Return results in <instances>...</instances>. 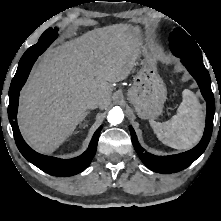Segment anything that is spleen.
<instances>
[{
	"label": "spleen",
	"mask_w": 221,
	"mask_h": 221,
	"mask_svg": "<svg viewBox=\"0 0 221 221\" xmlns=\"http://www.w3.org/2000/svg\"><path fill=\"white\" fill-rule=\"evenodd\" d=\"M182 98L176 115L162 123L151 119L150 125L162 143L178 150H187L200 141L205 114L192 91L185 89Z\"/></svg>",
	"instance_id": "3e777b00"
}]
</instances>
